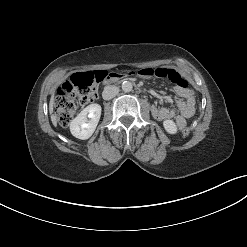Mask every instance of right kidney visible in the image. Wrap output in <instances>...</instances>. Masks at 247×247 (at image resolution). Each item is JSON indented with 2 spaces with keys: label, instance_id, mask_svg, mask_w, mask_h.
<instances>
[{
  "label": "right kidney",
  "instance_id": "obj_1",
  "mask_svg": "<svg viewBox=\"0 0 247 247\" xmlns=\"http://www.w3.org/2000/svg\"><path fill=\"white\" fill-rule=\"evenodd\" d=\"M101 106L90 104L70 122L71 134L81 140L88 139L94 133L101 116Z\"/></svg>",
  "mask_w": 247,
  "mask_h": 247
}]
</instances>
